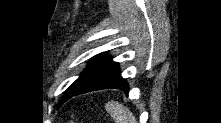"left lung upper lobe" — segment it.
I'll return each instance as SVG.
<instances>
[{
  "instance_id": "obj_1",
  "label": "left lung upper lobe",
  "mask_w": 221,
  "mask_h": 123,
  "mask_svg": "<svg viewBox=\"0 0 221 123\" xmlns=\"http://www.w3.org/2000/svg\"><path fill=\"white\" fill-rule=\"evenodd\" d=\"M111 63V58L107 57L104 53L95 56L91 64L85 69L80 77L66 90L63 101H66L74 91L78 90L89 79Z\"/></svg>"
}]
</instances>
